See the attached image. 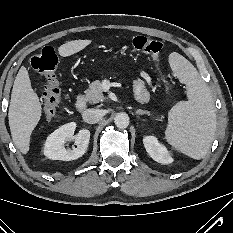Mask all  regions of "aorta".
<instances>
[{
    "label": "aorta",
    "mask_w": 233,
    "mask_h": 233,
    "mask_svg": "<svg viewBox=\"0 0 233 233\" xmlns=\"http://www.w3.org/2000/svg\"><path fill=\"white\" fill-rule=\"evenodd\" d=\"M115 125L120 129H125L129 125V116L126 113H118L114 119Z\"/></svg>",
    "instance_id": "aorta-1"
}]
</instances>
